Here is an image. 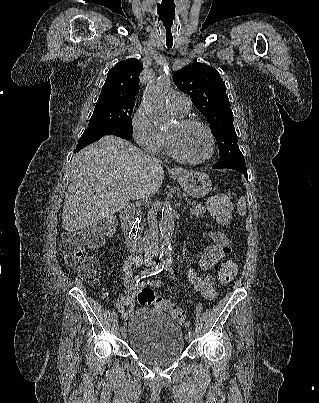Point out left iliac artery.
Instances as JSON below:
<instances>
[{
	"label": "left iliac artery",
	"mask_w": 319,
	"mask_h": 403,
	"mask_svg": "<svg viewBox=\"0 0 319 403\" xmlns=\"http://www.w3.org/2000/svg\"><path fill=\"white\" fill-rule=\"evenodd\" d=\"M170 268H171V263H170V262L165 263L164 269H165L166 271H170ZM189 335H193V336H194V332H193V331H190V332H189Z\"/></svg>",
	"instance_id": "left-iliac-artery-1"
}]
</instances>
